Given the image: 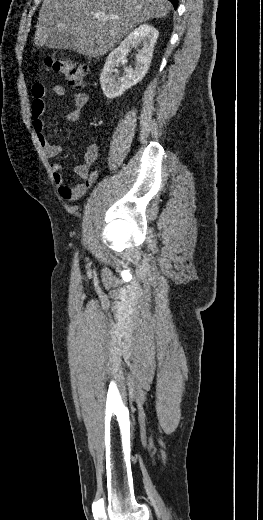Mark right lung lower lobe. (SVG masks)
I'll use <instances>...</instances> for the list:
<instances>
[{
	"instance_id": "98d812e1",
	"label": "right lung lower lobe",
	"mask_w": 263,
	"mask_h": 520,
	"mask_svg": "<svg viewBox=\"0 0 263 520\" xmlns=\"http://www.w3.org/2000/svg\"><path fill=\"white\" fill-rule=\"evenodd\" d=\"M169 1L173 4L174 8L176 9L177 8V4H178V0H169Z\"/></svg>"
}]
</instances>
